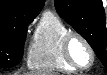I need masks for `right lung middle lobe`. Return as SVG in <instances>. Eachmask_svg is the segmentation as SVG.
<instances>
[{
  "mask_svg": "<svg viewBox=\"0 0 107 75\" xmlns=\"http://www.w3.org/2000/svg\"><path fill=\"white\" fill-rule=\"evenodd\" d=\"M28 23H13L0 30V68L16 66L23 55Z\"/></svg>",
  "mask_w": 107,
  "mask_h": 75,
  "instance_id": "obj_1",
  "label": "right lung middle lobe"
}]
</instances>
